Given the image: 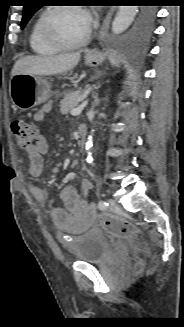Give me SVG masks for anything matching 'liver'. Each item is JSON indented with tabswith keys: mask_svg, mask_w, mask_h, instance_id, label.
<instances>
[{
	"mask_svg": "<svg viewBox=\"0 0 184 327\" xmlns=\"http://www.w3.org/2000/svg\"><path fill=\"white\" fill-rule=\"evenodd\" d=\"M80 60V52L55 56H25L18 59L11 71L33 75H56L74 68Z\"/></svg>",
	"mask_w": 184,
	"mask_h": 327,
	"instance_id": "obj_1",
	"label": "liver"
}]
</instances>
